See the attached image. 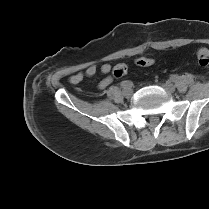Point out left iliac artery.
<instances>
[{"label": "left iliac artery", "mask_w": 209, "mask_h": 209, "mask_svg": "<svg viewBox=\"0 0 209 209\" xmlns=\"http://www.w3.org/2000/svg\"><path fill=\"white\" fill-rule=\"evenodd\" d=\"M170 80H171V82L172 83H179V76L178 75H172L171 77H170Z\"/></svg>", "instance_id": "1"}]
</instances>
